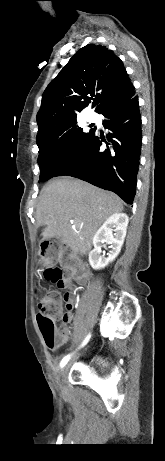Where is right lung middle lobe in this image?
<instances>
[{"label":"right lung middle lobe","instance_id":"obj_1","mask_svg":"<svg viewBox=\"0 0 165 461\" xmlns=\"http://www.w3.org/2000/svg\"><path fill=\"white\" fill-rule=\"evenodd\" d=\"M94 129L83 132L77 120L67 121L37 139L39 182L54 177L84 147Z\"/></svg>","mask_w":165,"mask_h":461}]
</instances>
